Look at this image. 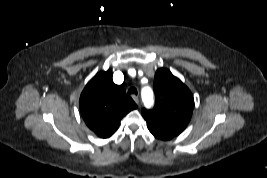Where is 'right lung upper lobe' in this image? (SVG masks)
I'll list each match as a JSON object with an SVG mask.
<instances>
[{"instance_id": "right-lung-upper-lobe-1", "label": "right lung upper lobe", "mask_w": 267, "mask_h": 178, "mask_svg": "<svg viewBox=\"0 0 267 178\" xmlns=\"http://www.w3.org/2000/svg\"><path fill=\"white\" fill-rule=\"evenodd\" d=\"M135 108L137 105L126 95L124 86L113 82L109 70L96 74L80 96L82 118L90 130L101 138L112 136L120 120Z\"/></svg>"}]
</instances>
